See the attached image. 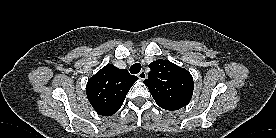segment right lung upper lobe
<instances>
[{
  "instance_id": "1",
  "label": "right lung upper lobe",
  "mask_w": 276,
  "mask_h": 138,
  "mask_svg": "<svg viewBox=\"0 0 276 138\" xmlns=\"http://www.w3.org/2000/svg\"><path fill=\"white\" fill-rule=\"evenodd\" d=\"M137 79L126 69L107 64L88 80L87 98L98 114L111 116L120 109Z\"/></svg>"
}]
</instances>
